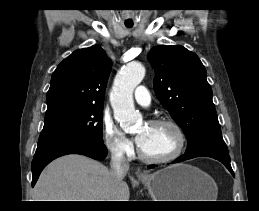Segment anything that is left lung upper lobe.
<instances>
[{"label":"left lung upper lobe","mask_w":259,"mask_h":211,"mask_svg":"<svg viewBox=\"0 0 259 211\" xmlns=\"http://www.w3.org/2000/svg\"><path fill=\"white\" fill-rule=\"evenodd\" d=\"M148 59L155 69L156 96L187 137L185 154L204 148L228 151L198 56L183 46L160 45L150 50Z\"/></svg>","instance_id":"left-lung-upper-lobe-1"}]
</instances>
